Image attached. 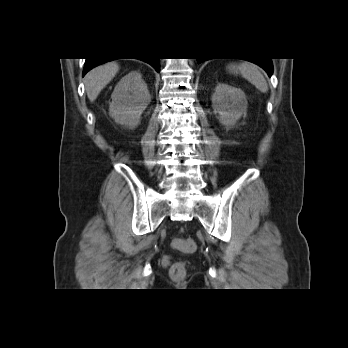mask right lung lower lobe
I'll use <instances>...</instances> for the list:
<instances>
[{
    "mask_svg": "<svg viewBox=\"0 0 348 348\" xmlns=\"http://www.w3.org/2000/svg\"><path fill=\"white\" fill-rule=\"evenodd\" d=\"M108 61H110V60L103 59V58H86L85 66H84V70H83V76L92 68H94L102 63L108 62ZM144 61L149 63L151 66H153L157 72L160 71L159 58H150V59H146Z\"/></svg>",
    "mask_w": 348,
    "mask_h": 348,
    "instance_id": "right-lung-lower-lobe-1",
    "label": "right lung lower lobe"
}]
</instances>
